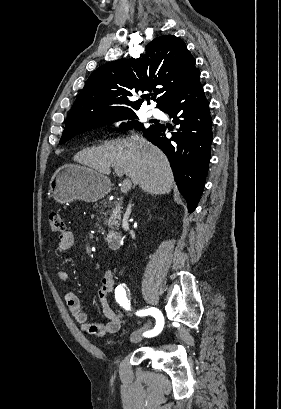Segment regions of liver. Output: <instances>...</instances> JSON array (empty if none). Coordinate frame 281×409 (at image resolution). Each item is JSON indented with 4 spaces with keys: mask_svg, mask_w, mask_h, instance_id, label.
<instances>
[{
    "mask_svg": "<svg viewBox=\"0 0 281 409\" xmlns=\"http://www.w3.org/2000/svg\"><path fill=\"white\" fill-rule=\"evenodd\" d=\"M74 160L102 174H110V166H114L115 170L119 168L133 184H139L142 190L151 194H167L174 182L165 154L138 134L118 138L104 146L84 148L75 154Z\"/></svg>",
    "mask_w": 281,
    "mask_h": 409,
    "instance_id": "obj_1",
    "label": "liver"
}]
</instances>
